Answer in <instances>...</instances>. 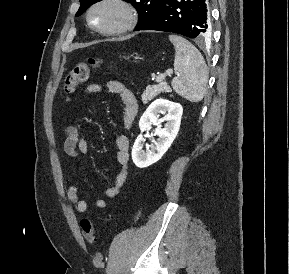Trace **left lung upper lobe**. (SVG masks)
I'll list each match as a JSON object with an SVG mask.
<instances>
[{
	"mask_svg": "<svg viewBox=\"0 0 289 274\" xmlns=\"http://www.w3.org/2000/svg\"><path fill=\"white\" fill-rule=\"evenodd\" d=\"M97 1L100 0H80L81 6L78 12L76 13V16L81 15L90 5L96 3ZM126 1L132 3L133 6L138 11L139 23L137 25V28H139L153 18V16L158 12V10L161 8L165 0H126Z\"/></svg>",
	"mask_w": 289,
	"mask_h": 274,
	"instance_id": "left-lung-upper-lobe-1",
	"label": "left lung upper lobe"
}]
</instances>
